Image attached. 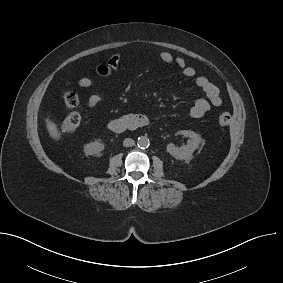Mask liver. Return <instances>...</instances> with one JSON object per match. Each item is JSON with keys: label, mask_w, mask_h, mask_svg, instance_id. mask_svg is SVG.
<instances>
[{"label": "liver", "mask_w": 283, "mask_h": 283, "mask_svg": "<svg viewBox=\"0 0 283 283\" xmlns=\"http://www.w3.org/2000/svg\"><path fill=\"white\" fill-rule=\"evenodd\" d=\"M45 122L49 136L56 141L61 140L62 136H61V132L57 127V124L54 123L50 118H46Z\"/></svg>", "instance_id": "1"}]
</instances>
